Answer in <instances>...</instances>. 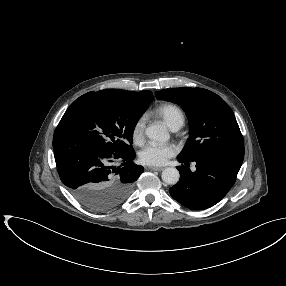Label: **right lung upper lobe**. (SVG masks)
<instances>
[{
    "instance_id": "right-lung-upper-lobe-1",
    "label": "right lung upper lobe",
    "mask_w": 286,
    "mask_h": 286,
    "mask_svg": "<svg viewBox=\"0 0 286 286\" xmlns=\"http://www.w3.org/2000/svg\"><path fill=\"white\" fill-rule=\"evenodd\" d=\"M101 92L109 93L116 97L122 98L124 100L139 103V104H148L153 100V94L151 91H141L133 92L120 89H104Z\"/></svg>"
}]
</instances>
